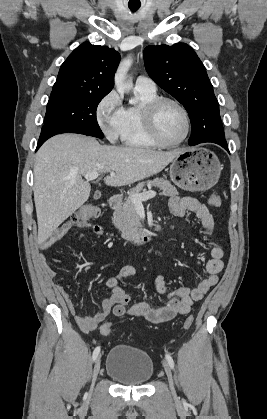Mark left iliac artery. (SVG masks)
<instances>
[{
  "label": "left iliac artery",
  "mask_w": 267,
  "mask_h": 419,
  "mask_svg": "<svg viewBox=\"0 0 267 419\" xmlns=\"http://www.w3.org/2000/svg\"><path fill=\"white\" fill-rule=\"evenodd\" d=\"M165 357H166V360H167L169 366L172 369H174V361H173V358L169 354H166Z\"/></svg>",
  "instance_id": "44dca946"
}]
</instances>
